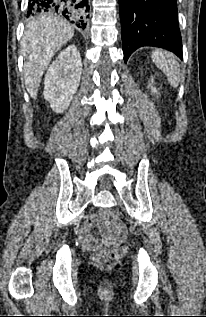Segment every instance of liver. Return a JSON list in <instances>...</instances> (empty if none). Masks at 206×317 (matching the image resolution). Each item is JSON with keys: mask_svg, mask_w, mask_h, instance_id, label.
Masks as SVG:
<instances>
[{"mask_svg": "<svg viewBox=\"0 0 206 317\" xmlns=\"http://www.w3.org/2000/svg\"><path fill=\"white\" fill-rule=\"evenodd\" d=\"M73 35L74 27L52 13L40 14L26 25L22 38L23 74L33 99L52 57Z\"/></svg>", "mask_w": 206, "mask_h": 317, "instance_id": "liver-1", "label": "liver"}]
</instances>
